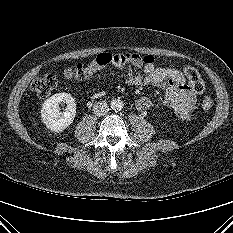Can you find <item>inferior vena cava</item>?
I'll return each instance as SVG.
<instances>
[{
    "label": "inferior vena cava",
    "mask_w": 233,
    "mask_h": 233,
    "mask_svg": "<svg viewBox=\"0 0 233 233\" xmlns=\"http://www.w3.org/2000/svg\"><path fill=\"white\" fill-rule=\"evenodd\" d=\"M109 111V106L106 102H97L93 106V112L97 116H103Z\"/></svg>",
    "instance_id": "602c4592"
}]
</instances>
